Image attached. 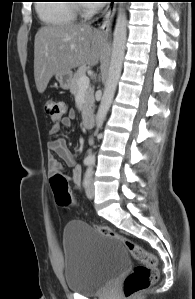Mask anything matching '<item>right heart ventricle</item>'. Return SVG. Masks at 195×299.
I'll use <instances>...</instances> for the list:
<instances>
[{"mask_svg": "<svg viewBox=\"0 0 195 299\" xmlns=\"http://www.w3.org/2000/svg\"><path fill=\"white\" fill-rule=\"evenodd\" d=\"M37 6L39 18L47 26H65L72 24L76 19V9L70 1H45Z\"/></svg>", "mask_w": 195, "mask_h": 299, "instance_id": "1", "label": "right heart ventricle"}]
</instances>
